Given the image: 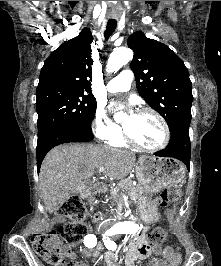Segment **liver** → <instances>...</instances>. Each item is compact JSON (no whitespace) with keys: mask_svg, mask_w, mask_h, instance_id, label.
<instances>
[{"mask_svg":"<svg viewBox=\"0 0 221 266\" xmlns=\"http://www.w3.org/2000/svg\"><path fill=\"white\" fill-rule=\"evenodd\" d=\"M136 156L95 144H64L50 150L42 163L39 186L45 209L52 213L72 193L85 191L95 168L106 177L123 179L134 168Z\"/></svg>","mask_w":221,"mask_h":266,"instance_id":"1","label":"liver"}]
</instances>
